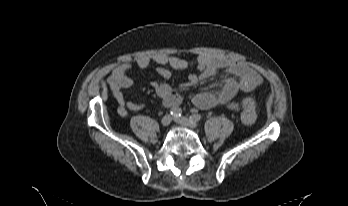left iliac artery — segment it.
<instances>
[{"label":"left iliac artery","mask_w":348,"mask_h":206,"mask_svg":"<svg viewBox=\"0 0 348 206\" xmlns=\"http://www.w3.org/2000/svg\"><path fill=\"white\" fill-rule=\"evenodd\" d=\"M202 118V116L200 114H193L190 116V120L192 122H198L200 119Z\"/></svg>","instance_id":"obj_1"}]
</instances>
